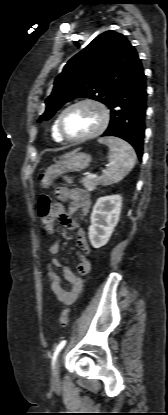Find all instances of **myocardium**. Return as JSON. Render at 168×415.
Masks as SVG:
<instances>
[{"label": "myocardium", "instance_id": "1", "mask_svg": "<svg viewBox=\"0 0 168 415\" xmlns=\"http://www.w3.org/2000/svg\"><path fill=\"white\" fill-rule=\"evenodd\" d=\"M84 104H89L92 105L94 107H96L101 114V121L99 126L91 133L81 136V137H70L66 134L64 127H63V120H64V116L65 114L72 108L80 106V105H84ZM110 121V112L109 109L107 108V106L102 103L101 101L97 100V99H93V98H84V99H80L78 101L73 102L72 104L68 105L65 109L62 110V112L60 113L59 117H58V123H57V127H58V132L60 134V136L68 141V142H83V141H87L90 139H93L97 136H99L100 134H102L105 129L107 128L108 124Z\"/></svg>", "mask_w": 168, "mask_h": 415}]
</instances>
